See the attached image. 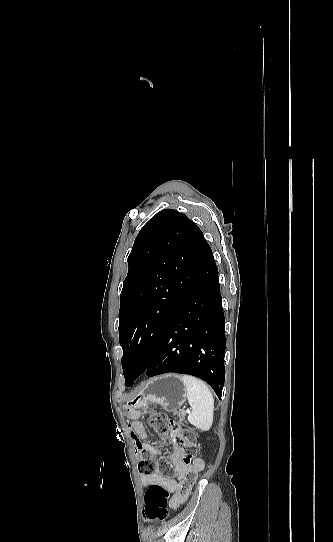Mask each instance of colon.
Instances as JSON below:
<instances>
[{"label":"colon","mask_w":333,"mask_h":542,"mask_svg":"<svg viewBox=\"0 0 333 542\" xmlns=\"http://www.w3.org/2000/svg\"><path fill=\"white\" fill-rule=\"evenodd\" d=\"M149 427L152 431L164 439H173L184 450L186 456L184 462L190 463L192 458L196 457L198 452V442L196 435L187 426L168 417L161 411H151L148 416ZM162 433H165L162 434ZM139 472L143 475L155 474L158 469L164 473H172V467L165 459L154 460L145 458L140 461ZM192 486V478H188L179 487L176 492L178 496H184L189 493ZM174 494L161 484L151 485L144 496L143 517L147 521H164L168 518L170 501Z\"/></svg>","instance_id":"1"}]
</instances>
